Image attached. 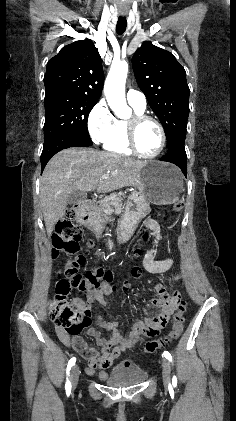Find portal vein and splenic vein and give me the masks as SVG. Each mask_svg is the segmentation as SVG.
<instances>
[{
    "label": "portal vein and splenic vein",
    "instance_id": "portal-vein-and-splenic-vein-1",
    "mask_svg": "<svg viewBox=\"0 0 236 421\" xmlns=\"http://www.w3.org/2000/svg\"><path fill=\"white\" fill-rule=\"evenodd\" d=\"M101 178H109V174H102Z\"/></svg>",
    "mask_w": 236,
    "mask_h": 421
}]
</instances>
